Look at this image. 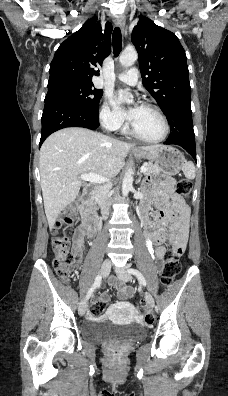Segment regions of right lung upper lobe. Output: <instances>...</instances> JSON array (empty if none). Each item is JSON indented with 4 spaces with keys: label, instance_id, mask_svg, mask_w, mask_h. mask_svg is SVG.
<instances>
[{
    "label": "right lung upper lobe",
    "instance_id": "1",
    "mask_svg": "<svg viewBox=\"0 0 228 396\" xmlns=\"http://www.w3.org/2000/svg\"><path fill=\"white\" fill-rule=\"evenodd\" d=\"M94 21H86L59 46L50 64L48 86L64 82L93 84L92 77L99 75L97 68L110 54L112 32L110 22L102 30Z\"/></svg>",
    "mask_w": 228,
    "mask_h": 396
}]
</instances>
